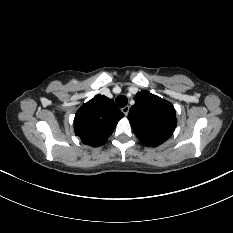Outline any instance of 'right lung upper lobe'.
Segmentation results:
<instances>
[{
    "label": "right lung upper lobe",
    "mask_w": 233,
    "mask_h": 233,
    "mask_svg": "<svg viewBox=\"0 0 233 233\" xmlns=\"http://www.w3.org/2000/svg\"><path fill=\"white\" fill-rule=\"evenodd\" d=\"M123 116L113 100L98 94L77 111L75 134L84 144L98 147L107 141Z\"/></svg>",
    "instance_id": "1"
}]
</instances>
